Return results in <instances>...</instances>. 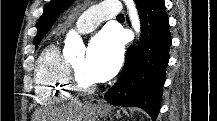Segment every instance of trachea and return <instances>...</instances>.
I'll return each mask as SVG.
<instances>
[{
  "mask_svg": "<svg viewBox=\"0 0 217 121\" xmlns=\"http://www.w3.org/2000/svg\"><path fill=\"white\" fill-rule=\"evenodd\" d=\"M117 17H124V15L123 14H119Z\"/></svg>",
  "mask_w": 217,
  "mask_h": 121,
  "instance_id": "1",
  "label": "trachea"
}]
</instances>
